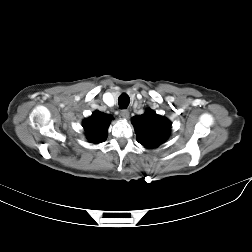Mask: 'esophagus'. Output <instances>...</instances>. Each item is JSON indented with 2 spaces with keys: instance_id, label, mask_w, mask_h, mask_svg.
I'll return each mask as SVG.
<instances>
[{
  "instance_id": "esophagus-1",
  "label": "esophagus",
  "mask_w": 252,
  "mask_h": 252,
  "mask_svg": "<svg viewBox=\"0 0 252 252\" xmlns=\"http://www.w3.org/2000/svg\"><path fill=\"white\" fill-rule=\"evenodd\" d=\"M120 115L122 118L128 119L129 118V111L127 109H123V110H121Z\"/></svg>"
}]
</instances>
